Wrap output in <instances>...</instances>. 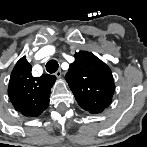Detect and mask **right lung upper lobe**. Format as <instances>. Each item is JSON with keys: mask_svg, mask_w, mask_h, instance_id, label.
<instances>
[{"mask_svg": "<svg viewBox=\"0 0 147 147\" xmlns=\"http://www.w3.org/2000/svg\"><path fill=\"white\" fill-rule=\"evenodd\" d=\"M31 69L25 57L16 63L11 73L8 95L17 111L24 116L37 117L49 105V96L56 77L43 74L35 78Z\"/></svg>", "mask_w": 147, "mask_h": 147, "instance_id": "right-lung-upper-lobe-1", "label": "right lung upper lobe"}]
</instances>
